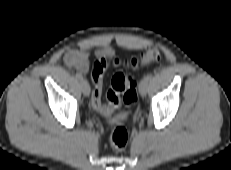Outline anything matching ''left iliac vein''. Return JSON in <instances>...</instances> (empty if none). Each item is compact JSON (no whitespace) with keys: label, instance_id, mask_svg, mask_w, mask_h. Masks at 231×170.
I'll return each instance as SVG.
<instances>
[{"label":"left iliac vein","instance_id":"obj_1","mask_svg":"<svg viewBox=\"0 0 231 170\" xmlns=\"http://www.w3.org/2000/svg\"><path fill=\"white\" fill-rule=\"evenodd\" d=\"M149 81L146 78H143L139 83V93L144 97L147 93Z\"/></svg>","mask_w":231,"mask_h":170}]
</instances>
